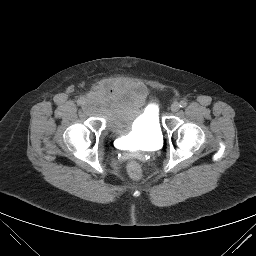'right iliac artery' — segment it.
<instances>
[{
  "label": "right iliac artery",
  "instance_id": "82829eb1",
  "mask_svg": "<svg viewBox=\"0 0 256 256\" xmlns=\"http://www.w3.org/2000/svg\"><path fill=\"white\" fill-rule=\"evenodd\" d=\"M84 103H85L84 98H80V99L77 100V104H78V105H82V104H84Z\"/></svg>",
  "mask_w": 256,
  "mask_h": 256
}]
</instances>
